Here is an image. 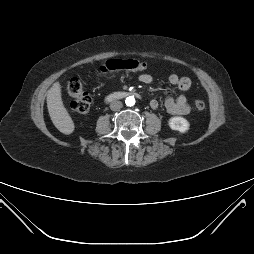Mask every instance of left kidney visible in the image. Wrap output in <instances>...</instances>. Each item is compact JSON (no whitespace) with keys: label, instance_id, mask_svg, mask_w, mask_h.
Returning <instances> with one entry per match:
<instances>
[{"label":"left kidney","instance_id":"1","mask_svg":"<svg viewBox=\"0 0 254 254\" xmlns=\"http://www.w3.org/2000/svg\"><path fill=\"white\" fill-rule=\"evenodd\" d=\"M169 126L172 130H176L181 133H184L189 129L190 124L185 118L176 116V117H171L169 119Z\"/></svg>","mask_w":254,"mask_h":254}]
</instances>
